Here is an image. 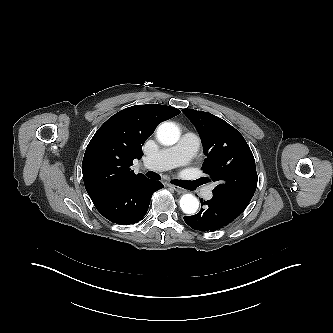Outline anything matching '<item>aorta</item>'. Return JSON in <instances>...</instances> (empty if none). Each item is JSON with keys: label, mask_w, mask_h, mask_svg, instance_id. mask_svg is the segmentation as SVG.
Segmentation results:
<instances>
[{"label": "aorta", "mask_w": 333, "mask_h": 333, "mask_svg": "<svg viewBox=\"0 0 333 333\" xmlns=\"http://www.w3.org/2000/svg\"><path fill=\"white\" fill-rule=\"evenodd\" d=\"M179 137V128L173 122H163L157 129V138L163 145H173ZM180 207L185 214H194L198 210L199 201L192 194H184L180 199Z\"/></svg>", "instance_id": "1"}]
</instances>
